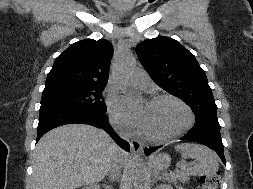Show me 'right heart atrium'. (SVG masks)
Returning a JSON list of instances; mask_svg holds the SVG:
<instances>
[{
  "label": "right heart atrium",
  "mask_w": 253,
  "mask_h": 189,
  "mask_svg": "<svg viewBox=\"0 0 253 189\" xmlns=\"http://www.w3.org/2000/svg\"><path fill=\"white\" fill-rule=\"evenodd\" d=\"M107 106H108V111H109L112 122L121 128L126 127L127 124L124 123L119 118V115H118L120 112H123L119 101L116 98H110L108 100Z\"/></svg>",
  "instance_id": "right-heart-atrium-1"
}]
</instances>
